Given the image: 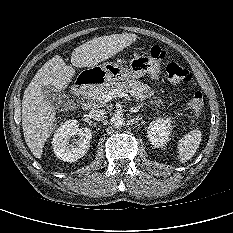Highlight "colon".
Returning a JSON list of instances; mask_svg holds the SVG:
<instances>
[{
    "label": "colon",
    "mask_w": 233,
    "mask_h": 233,
    "mask_svg": "<svg viewBox=\"0 0 233 233\" xmlns=\"http://www.w3.org/2000/svg\"><path fill=\"white\" fill-rule=\"evenodd\" d=\"M149 53L154 58H164L165 51L158 45L149 48ZM166 77L172 84L186 83L190 81L191 76L189 71L175 62H169L166 65ZM204 107V97L201 91L195 90L188 101L189 111L198 116Z\"/></svg>",
    "instance_id": "obj_1"
}]
</instances>
